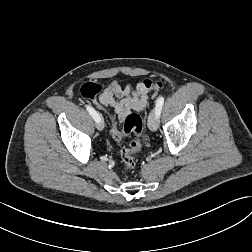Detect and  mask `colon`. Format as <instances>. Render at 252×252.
<instances>
[{
  "label": "colon",
  "instance_id": "obj_1",
  "mask_svg": "<svg viewBox=\"0 0 252 252\" xmlns=\"http://www.w3.org/2000/svg\"><path fill=\"white\" fill-rule=\"evenodd\" d=\"M146 90H158L163 87L161 81L146 79L142 82ZM101 87L94 82H86L81 87V95L89 100L99 102ZM112 118V136L121 140L129 134H134V140L121 150V158L126 170H132L136 166L135 155L141 148V134L143 130L142 119L137 114H130L126 117L122 128L118 127L117 120Z\"/></svg>",
  "mask_w": 252,
  "mask_h": 252
}]
</instances>
